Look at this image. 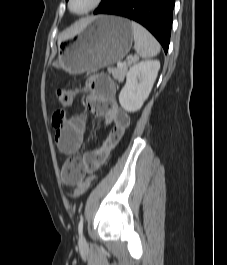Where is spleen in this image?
<instances>
[{
	"instance_id": "spleen-1",
	"label": "spleen",
	"mask_w": 227,
	"mask_h": 265,
	"mask_svg": "<svg viewBox=\"0 0 227 265\" xmlns=\"http://www.w3.org/2000/svg\"><path fill=\"white\" fill-rule=\"evenodd\" d=\"M130 24L133 29L134 46L138 55L142 58L156 56L160 52L158 41L138 23L131 21Z\"/></svg>"
}]
</instances>
